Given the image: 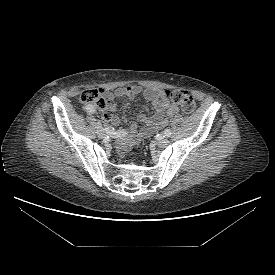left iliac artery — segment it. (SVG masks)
I'll return each mask as SVG.
<instances>
[{"mask_svg":"<svg viewBox=\"0 0 275 275\" xmlns=\"http://www.w3.org/2000/svg\"><path fill=\"white\" fill-rule=\"evenodd\" d=\"M164 135H165L166 137H170V136H171V130H170V129H166V130L164 131Z\"/></svg>","mask_w":275,"mask_h":275,"instance_id":"44dca946","label":"left iliac artery"}]
</instances>
